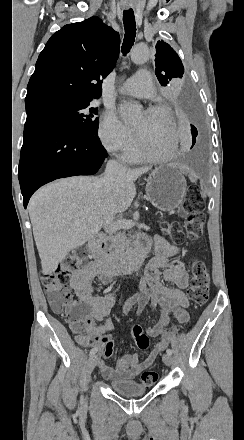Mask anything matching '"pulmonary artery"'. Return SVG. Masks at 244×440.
<instances>
[{
    "label": "pulmonary artery",
    "instance_id": "e3ab8cb5",
    "mask_svg": "<svg viewBox=\"0 0 244 440\" xmlns=\"http://www.w3.org/2000/svg\"><path fill=\"white\" fill-rule=\"evenodd\" d=\"M138 75H128L123 94H129L137 98H150L153 84L150 82L149 70L139 69Z\"/></svg>",
    "mask_w": 244,
    "mask_h": 440
}]
</instances>
